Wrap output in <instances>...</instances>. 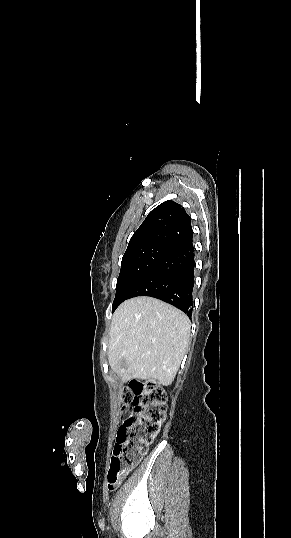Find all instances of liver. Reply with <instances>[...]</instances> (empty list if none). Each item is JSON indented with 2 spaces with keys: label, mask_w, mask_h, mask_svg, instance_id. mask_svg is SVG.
<instances>
[{
  "label": "liver",
  "mask_w": 291,
  "mask_h": 538,
  "mask_svg": "<svg viewBox=\"0 0 291 538\" xmlns=\"http://www.w3.org/2000/svg\"><path fill=\"white\" fill-rule=\"evenodd\" d=\"M190 328L189 318L165 302L145 296L126 300L113 314L109 363L126 382L154 379L168 386L188 348Z\"/></svg>",
  "instance_id": "liver-1"
}]
</instances>
